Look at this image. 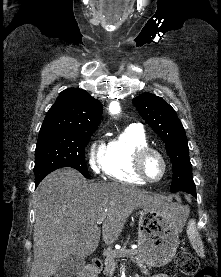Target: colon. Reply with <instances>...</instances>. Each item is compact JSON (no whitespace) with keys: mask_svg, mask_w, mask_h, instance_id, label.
Wrapping results in <instances>:
<instances>
[{"mask_svg":"<svg viewBox=\"0 0 221 277\" xmlns=\"http://www.w3.org/2000/svg\"><path fill=\"white\" fill-rule=\"evenodd\" d=\"M175 265L185 275L193 277H215V271L209 267L200 268L198 259L188 252H178Z\"/></svg>","mask_w":221,"mask_h":277,"instance_id":"obj_1","label":"colon"}]
</instances>
